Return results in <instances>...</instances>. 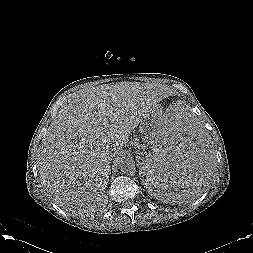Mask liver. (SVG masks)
Masks as SVG:
<instances>
[{"instance_id":"1","label":"liver","mask_w":253,"mask_h":253,"mask_svg":"<svg viewBox=\"0 0 253 253\" xmlns=\"http://www.w3.org/2000/svg\"><path fill=\"white\" fill-rule=\"evenodd\" d=\"M162 85L121 82L75 93L42 140L38 166L50 198L79 215L103 210L112 157L165 97Z\"/></svg>"}]
</instances>
